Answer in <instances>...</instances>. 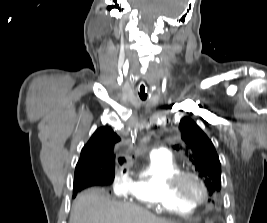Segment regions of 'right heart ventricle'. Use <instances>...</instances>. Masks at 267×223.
Wrapping results in <instances>:
<instances>
[{"label":"right heart ventricle","instance_id":"e07e8e85","mask_svg":"<svg viewBox=\"0 0 267 223\" xmlns=\"http://www.w3.org/2000/svg\"><path fill=\"white\" fill-rule=\"evenodd\" d=\"M182 169L171 156L152 154L146 166L129 179L125 195L137 205L154 210L190 214L194 207L170 192V179Z\"/></svg>","mask_w":267,"mask_h":223}]
</instances>
